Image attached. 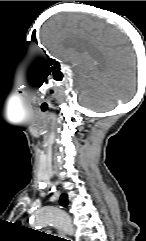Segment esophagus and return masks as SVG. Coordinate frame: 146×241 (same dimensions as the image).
Here are the masks:
<instances>
[{
  "mask_svg": "<svg viewBox=\"0 0 146 241\" xmlns=\"http://www.w3.org/2000/svg\"><path fill=\"white\" fill-rule=\"evenodd\" d=\"M61 237H63L64 241H72L69 237H67L62 231H58Z\"/></svg>",
  "mask_w": 146,
  "mask_h": 241,
  "instance_id": "esophagus-1",
  "label": "esophagus"
}]
</instances>
